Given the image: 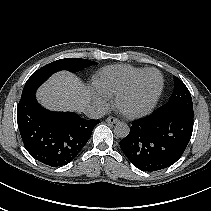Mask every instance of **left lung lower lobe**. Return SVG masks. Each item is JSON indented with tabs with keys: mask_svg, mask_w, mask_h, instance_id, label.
<instances>
[{
	"mask_svg": "<svg viewBox=\"0 0 211 211\" xmlns=\"http://www.w3.org/2000/svg\"><path fill=\"white\" fill-rule=\"evenodd\" d=\"M192 131V116L154 112L132 122L129 134L120 141V147L138 169L158 171L179 160Z\"/></svg>",
	"mask_w": 211,
	"mask_h": 211,
	"instance_id": "1",
	"label": "left lung lower lobe"
}]
</instances>
